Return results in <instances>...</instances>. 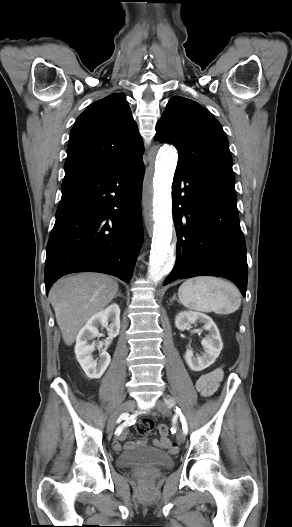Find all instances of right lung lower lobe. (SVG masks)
Returning <instances> with one entry per match:
<instances>
[{
  "label": "right lung lower lobe",
  "mask_w": 292,
  "mask_h": 527,
  "mask_svg": "<svg viewBox=\"0 0 292 527\" xmlns=\"http://www.w3.org/2000/svg\"><path fill=\"white\" fill-rule=\"evenodd\" d=\"M142 158L105 172L66 174L47 244L48 293L61 276L83 271L131 279L142 242Z\"/></svg>",
  "instance_id": "right-lung-lower-lobe-1"
}]
</instances>
